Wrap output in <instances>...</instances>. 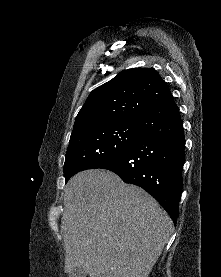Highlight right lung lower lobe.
<instances>
[{"instance_id": "98d812e1", "label": "right lung lower lobe", "mask_w": 221, "mask_h": 277, "mask_svg": "<svg viewBox=\"0 0 221 277\" xmlns=\"http://www.w3.org/2000/svg\"><path fill=\"white\" fill-rule=\"evenodd\" d=\"M137 128L127 152L100 168L116 173L125 183L146 190L176 224L183 186L185 138L174 99L141 116Z\"/></svg>"}]
</instances>
